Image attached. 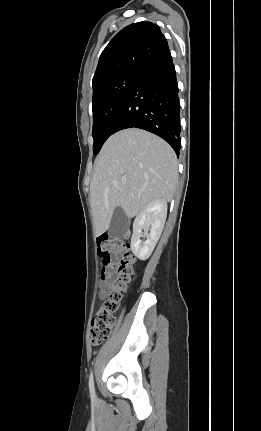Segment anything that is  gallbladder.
<instances>
[{"instance_id": "bac80fb5", "label": "gallbladder", "mask_w": 261, "mask_h": 431, "mask_svg": "<svg viewBox=\"0 0 261 431\" xmlns=\"http://www.w3.org/2000/svg\"><path fill=\"white\" fill-rule=\"evenodd\" d=\"M129 228V219L124 211L118 207L115 209L111 218L108 233L111 237L117 238L124 236Z\"/></svg>"}]
</instances>
